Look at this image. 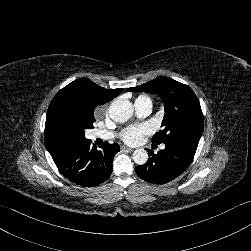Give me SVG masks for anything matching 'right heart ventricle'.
Listing matches in <instances>:
<instances>
[{
    "label": "right heart ventricle",
    "instance_id": "right-heart-ventricle-1",
    "mask_svg": "<svg viewBox=\"0 0 251 251\" xmlns=\"http://www.w3.org/2000/svg\"><path fill=\"white\" fill-rule=\"evenodd\" d=\"M145 97H147V96H140L137 99H141V98H145ZM147 98H149V97H147Z\"/></svg>",
    "mask_w": 251,
    "mask_h": 251
}]
</instances>
